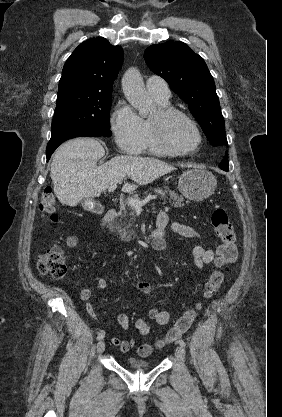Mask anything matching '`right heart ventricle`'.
Instances as JSON below:
<instances>
[{"label": "right heart ventricle", "mask_w": 282, "mask_h": 417, "mask_svg": "<svg viewBox=\"0 0 282 417\" xmlns=\"http://www.w3.org/2000/svg\"><path fill=\"white\" fill-rule=\"evenodd\" d=\"M156 102L162 107L168 106V102H160V101H156ZM145 125H146V144H145L144 150H151L153 152H158V153H166V151L158 144L151 130L149 120H145Z\"/></svg>", "instance_id": "obj_1"}]
</instances>
